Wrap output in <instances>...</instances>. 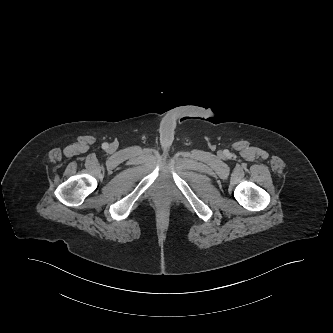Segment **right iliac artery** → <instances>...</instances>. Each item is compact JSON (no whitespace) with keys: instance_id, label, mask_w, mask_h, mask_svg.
<instances>
[{"instance_id":"obj_1","label":"right iliac artery","mask_w":333,"mask_h":333,"mask_svg":"<svg viewBox=\"0 0 333 333\" xmlns=\"http://www.w3.org/2000/svg\"><path fill=\"white\" fill-rule=\"evenodd\" d=\"M102 148H103V149L108 148V144H107V143H103Z\"/></svg>"}]
</instances>
